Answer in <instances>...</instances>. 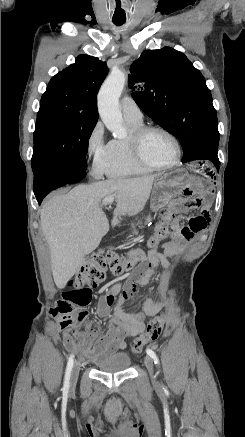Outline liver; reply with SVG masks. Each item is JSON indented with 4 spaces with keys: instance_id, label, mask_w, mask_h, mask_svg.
Segmentation results:
<instances>
[{
    "instance_id": "6515ba94",
    "label": "liver",
    "mask_w": 245,
    "mask_h": 437,
    "mask_svg": "<svg viewBox=\"0 0 245 437\" xmlns=\"http://www.w3.org/2000/svg\"><path fill=\"white\" fill-rule=\"evenodd\" d=\"M157 175L115 178L78 185L66 194L52 196L42 207L41 229L47 240L54 282L63 289L76 273L85 256L95 250L109 231V222L101 209L108 196L116 200L111 221L118 216H133L144 209Z\"/></svg>"
}]
</instances>
